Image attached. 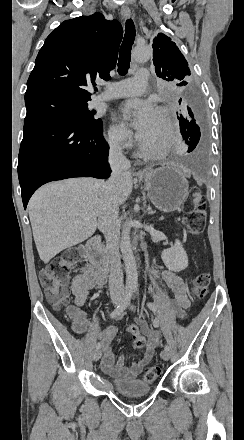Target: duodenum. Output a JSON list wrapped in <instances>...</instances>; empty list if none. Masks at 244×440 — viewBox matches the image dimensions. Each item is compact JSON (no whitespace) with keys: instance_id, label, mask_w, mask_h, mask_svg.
I'll return each mask as SVG.
<instances>
[{"instance_id":"1","label":"duodenum","mask_w":244,"mask_h":440,"mask_svg":"<svg viewBox=\"0 0 244 440\" xmlns=\"http://www.w3.org/2000/svg\"><path fill=\"white\" fill-rule=\"evenodd\" d=\"M85 256L92 266L100 269L103 273H107L113 263V258L101 251L98 238L88 240L85 248Z\"/></svg>"}]
</instances>
